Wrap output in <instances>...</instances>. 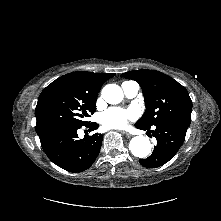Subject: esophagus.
Returning a JSON list of instances; mask_svg holds the SVG:
<instances>
[{
    "label": "esophagus",
    "mask_w": 221,
    "mask_h": 221,
    "mask_svg": "<svg viewBox=\"0 0 221 221\" xmlns=\"http://www.w3.org/2000/svg\"><path fill=\"white\" fill-rule=\"evenodd\" d=\"M128 138H131L132 137V135L130 134V133H128V132H123Z\"/></svg>",
    "instance_id": "obj_1"
}]
</instances>
